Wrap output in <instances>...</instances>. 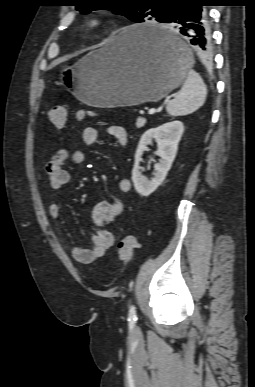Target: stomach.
Wrapping results in <instances>:
<instances>
[{
	"label": "stomach",
	"instance_id": "obj_1",
	"mask_svg": "<svg viewBox=\"0 0 255 387\" xmlns=\"http://www.w3.org/2000/svg\"><path fill=\"white\" fill-rule=\"evenodd\" d=\"M164 30L156 23L121 30L102 48L94 50L62 71V82L80 101L113 108L154 102L164 98L186 79L192 65L186 43L173 32L181 52L168 54L145 40L144 33Z\"/></svg>",
	"mask_w": 255,
	"mask_h": 387
}]
</instances>
